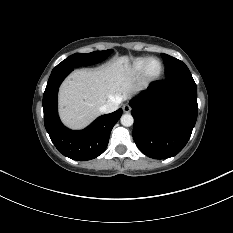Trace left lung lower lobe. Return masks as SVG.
<instances>
[{"instance_id":"left-lung-lower-lobe-1","label":"left lung lower lobe","mask_w":233,"mask_h":233,"mask_svg":"<svg viewBox=\"0 0 233 233\" xmlns=\"http://www.w3.org/2000/svg\"><path fill=\"white\" fill-rule=\"evenodd\" d=\"M130 106L137 147L151 158L166 159L178 154L191 136L198 114L197 87L192 76L155 81Z\"/></svg>"}]
</instances>
